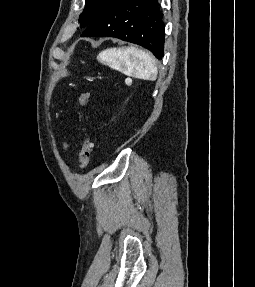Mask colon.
Returning a JSON list of instances; mask_svg holds the SVG:
<instances>
[{
    "instance_id": "obj_1",
    "label": "colon",
    "mask_w": 255,
    "mask_h": 287,
    "mask_svg": "<svg viewBox=\"0 0 255 287\" xmlns=\"http://www.w3.org/2000/svg\"><path fill=\"white\" fill-rule=\"evenodd\" d=\"M90 98L89 92H83L79 96V103L81 106H86ZM92 143L87 135L82 138L81 147L79 151V165L81 169H86L91 160Z\"/></svg>"
}]
</instances>
